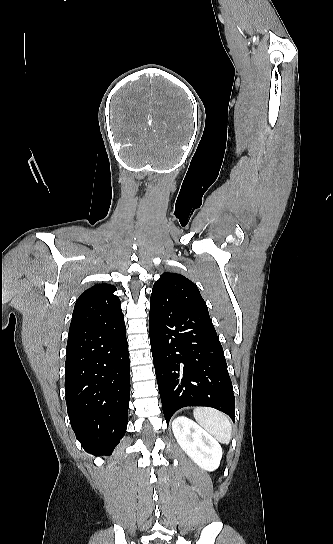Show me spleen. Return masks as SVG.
<instances>
[{
	"label": "spleen",
	"mask_w": 333,
	"mask_h": 544,
	"mask_svg": "<svg viewBox=\"0 0 333 544\" xmlns=\"http://www.w3.org/2000/svg\"><path fill=\"white\" fill-rule=\"evenodd\" d=\"M195 420L219 442L228 444L232 426L228 417L214 408L197 407L193 411Z\"/></svg>",
	"instance_id": "3e777b00"
}]
</instances>
